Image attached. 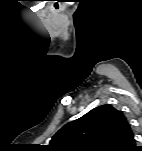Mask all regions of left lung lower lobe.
Wrapping results in <instances>:
<instances>
[{
	"instance_id": "obj_1",
	"label": "left lung lower lobe",
	"mask_w": 142,
	"mask_h": 151,
	"mask_svg": "<svg viewBox=\"0 0 142 151\" xmlns=\"http://www.w3.org/2000/svg\"><path fill=\"white\" fill-rule=\"evenodd\" d=\"M141 150H142V148L140 149V148L135 146V140L133 138V140L131 141L130 145L126 148L125 151H141Z\"/></svg>"
}]
</instances>
